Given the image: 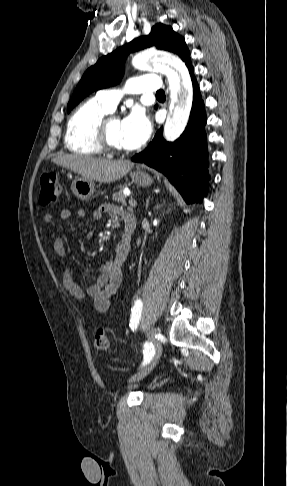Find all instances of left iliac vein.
<instances>
[{"label": "left iliac vein", "mask_w": 287, "mask_h": 486, "mask_svg": "<svg viewBox=\"0 0 287 486\" xmlns=\"http://www.w3.org/2000/svg\"><path fill=\"white\" fill-rule=\"evenodd\" d=\"M162 338H163V336H162V334L160 332H157L155 334V336L152 338L153 344L155 346V356H154V359L152 361V364L148 368H146L143 371L139 372L138 374L132 376L129 379V382L130 383H133V382H136V381H139V380L143 379L154 368V366L158 362V360L160 358V355H161V352H162V344H161V339Z\"/></svg>", "instance_id": "1"}]
</instances>
